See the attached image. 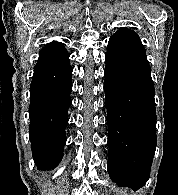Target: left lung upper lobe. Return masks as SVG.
<instances>
[{
	"label": "left lung upper lobe",
	"instance_id": "left-lung-upper-lobe-1",
	"mask_svg": "<svg viewBox=\"0 0 178 195\" xmlns=\"http://www.w3.org/2000/svg\"><path fill=\"white\" fill-rule=\"evenodd\" d=\"M107 52L149 65L146 51L137 33L127 28L118 30L109 40Z\"/></svg>",
	"mask_w": 178,
	"mask_h": 195
}]
</instances>
